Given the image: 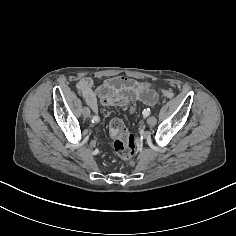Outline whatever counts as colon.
Returning <instances> with one entry per match:
<instances>
[{"mask_svg": "<svg viewBox=\"0 0 236 236\" xmlns=\"http://www.w3.org/2000/svg\"><path fill=\"white\" fill-rule=\"evenodd\" d=\"M163 96L168 100L175 98L173 90L168 88L160 89ZM100 102L103 105H119L128 107L130 105V98L125 93L112 92L104 94L100 97ZM109 133L113 139V147L116 154L132 164L135 154V138L129 132L124 122L119 118H114L109 123Z\"/></svg>", "mask_w": 236, "mask_h": 236, "instance_id": "5ec220e1", "label": "colon"}]
</instances>
